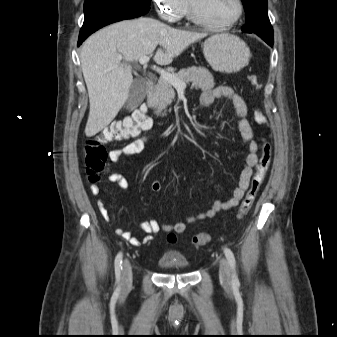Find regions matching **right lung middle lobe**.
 <instances>
[{
    "label": "right lung middle lobe",
    "instance_id": "1",
    "mask_svg": "<svg viewBox=\"0 0 337 337\" xmlns=\"http://www.w3.org/2000/svg\"><path fill=\"white\" fill-rule=\"evenodd\" d=\"M105 2H120L138 7H149L151 0H85L84 12H86L91 7Z\"/></svg>",
    "mask_w": 337,
    "mask_h": 337
}]
</instances>
